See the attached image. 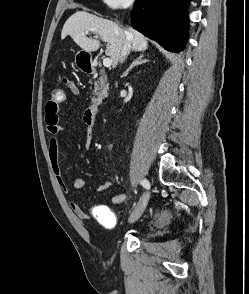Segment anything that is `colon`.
I'll list each match as a JSON object with an SVG mask.
<instances>
[{
    "label": "colon",
    "mask_w": 249,
    "mask_h": 294,
    "mask_svg": "<svg viewBox=\"0 0 249 294\" xmlns=\"http://www.w3.org/2000/svg\"><path fill=\"white\" fill-rule=\"evenodd\" d=\"M65 100V93L61 88H53L50 95L49 103L56 106Z\"/></svg>",
    "instance_id": "colon-1"
}]
</instances>
